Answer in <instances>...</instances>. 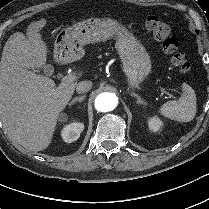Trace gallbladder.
I'll list each match as a JSON object with an SVG mask.
<instances>
[{
    "instance_id": "1",
    "label": "gallbladder",
    "mask_w": 209,
    "mask_h": 209,
    "mask_svg": "<svg viewBox=\"0 0 209 209\" xmlns=\"http://www.w3.org/2000/svg\"><path fill=\"white\" fill-rule=\"evenodd\" d=\"M29 69H31L33 72H40V70H43V72L49 76H51L53 72V67H51L50 65H45L42 68L35 67V68H29Z\"/></svg>"
}]
</instances>
